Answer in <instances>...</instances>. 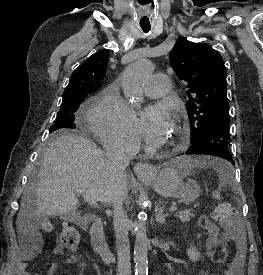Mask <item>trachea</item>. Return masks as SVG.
<instances>
[{
    "label": "trachea",
    "instance_id": "obj_1",
    "mask_svg": "<svg viewBox=\"0 0 263 275\" xmlns=\"http://www.w3.org/2000/svg\"><path fill=\"white\" fill-rule=\"evenodd\" d=\"M142 30L145 32V33H148L150 31V27H142Z\"/></svg>",
    "mask_w": 263,
    "mask_h": 275
}]
</instances>
